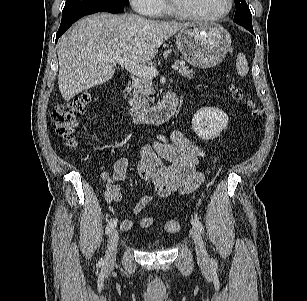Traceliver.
Listing matches in <instances>:
<instances>
[{
  "instance_id": "liver-1",
  "label": "liver",
  "mask_w": 307,
  "mask_h": 301,
  "mask_svg": "<svg viewBox=\"0 0 307 301\" xmlns=\"http://www.w3.org/2000/svg\"><path fill=\"white\" fill-rule=\"evenodd\" d=\"M188 23L149 20L136 14L100 13L77 21L58 42V85L65 101L109 81L115 72L106 60L128 57L143 64Z\"/></svg>"
}]
</instances>
